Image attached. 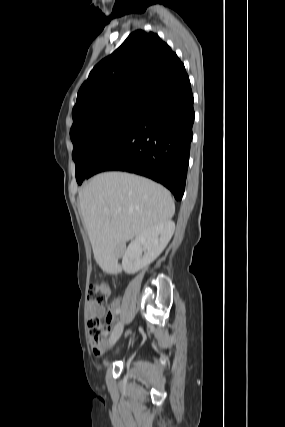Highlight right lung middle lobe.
<instances>
[{
	"label": "right lung middle lobe",
	"mask_w": 285,
	"mask_h": 427,
	"mask_svg": "<svg viewBox=\"0 0 285 427\" xmlns=\"http://www.w3.org/2000/svg\"><path fill=\"white\" fill-rule=\"evenodd\" d=\"M143 105H132L86 123L70 134L78 184L121 141L141 114Z\"/></svg>",
	"instance_id": "1"
}]
</instances>
